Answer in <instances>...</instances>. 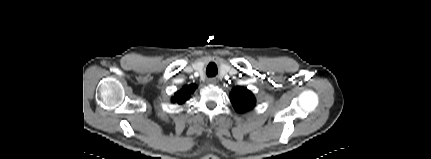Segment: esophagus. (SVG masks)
Returning a JSON list of instances; mask_svg holds the SVG:
<instances>
[{"label":"esophagus","mask_w":431,"mask_h":159,"mask_svg":"<svg viewBox=\"0 0 431 159\" xmlns=\"http://www.w3.org/2000/svg\"><path fill=\"white\" fill-rule=\"evenodd\" d=\"M208 83L215 84L216 83V79L215 78H209L208 79Z\"/></svg>","instance_id":"obj_1"}]
</instances>
